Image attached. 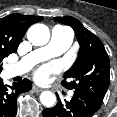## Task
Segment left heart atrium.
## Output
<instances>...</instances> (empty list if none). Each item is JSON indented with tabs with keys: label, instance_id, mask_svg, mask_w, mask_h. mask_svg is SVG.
<instances>
[{
	"label": "left heart atrium",
	"instance_id": "1",
	"mask_svg": "<svg viewBox=\"0 0 117 117\" xmlns=\"http://www.w3.org/2000/svg\"><path fill=\"white\" fill-rule=\"evenodd\" d=\"M58 71H59L58 65L56 63H50L38 68L35 71L34 76L38 82H45L50 74L56 73Z\"/></svg>",
	"mask_w": 117,
	"mask_h": 117
}]
</instances>
